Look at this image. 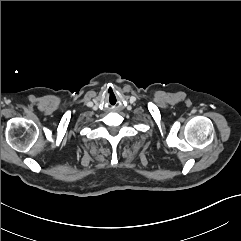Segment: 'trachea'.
Instances as JSON below:
<instances>
[{"label":"trachea","mask_w":241,"mask_h":241,"mask_svg":"<svg viewBox=\"0 0 241 241\" xmlns=\"http://www.w3.org/2000/svg\"><path fill=\"white\" fill-rule=\"evenodd\" d=\"M108 102H109L110 105H115L116 104L117 99H116V94L115 93H110L109 94Z\"/></svg>","instance_id":"trachea-1"}]
</instances>
